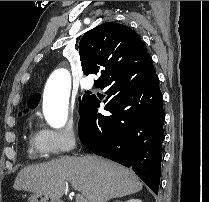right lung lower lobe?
I'll return each mask as SVG.
<instances>
[{
    "instance_id": "right-lung-lower-lobe-1",
    "label": "right lung lower lobe",
    "mask_w": 209,
    "mask_h": 202,
    "mask_svg": "<svg viewBox=\"0 0 209 202\" xmlns=\"http://www.w3.org/2000/svg\"><path fill=\"white\" fill-rule=\"evenodd\" d=\"M145 71L132 75L123 86L106 88L102 115L100 100L90 95L81 114L78 133L81 142L96 155L111 159L133 171L158 194L161 174V146L165 138L163 95L152 58H143Z\"/></svg>"
}]
</instances>
